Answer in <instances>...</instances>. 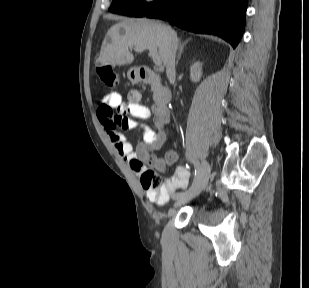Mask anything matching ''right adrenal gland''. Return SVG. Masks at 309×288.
Segmentation results:
<instances>
[{"instance_id":"obj_1","label":"right adrenal gland","mask_w":309,"mask_h":288,"mask_svg":"<svg viewBox=\"0 0 309 288\" xmlns=\"http://www.w3.org/2000/svg\"><path fill=\"white\" fill-rule=\"evenodd\" d=\"M191 41V38H188L186 39L184 42H181V40L179 41V53H178V56H177V61H176V65H178V62L181 58V54L185 48V46L187 45V43Z\"/></svg>"}]
</instances>
